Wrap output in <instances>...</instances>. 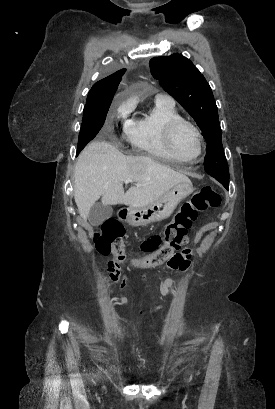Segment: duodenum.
<instances>
[{"instance_id": "duodenum-1", "label": "duodenum", "mask_w": 275, "mask_h": 409, "mask_svg": "<svg viewBox=\"0 0 275 409\" xmlns=\"http://www.w3.org/2000/svg\"><path fill=\"white\" fill-rule=\"evenodd\" d=\"M128 215H129V211L127 209L122 210L120 213V216L122 219H126Z\"/></svg>"}]
</instances>
